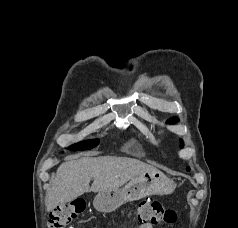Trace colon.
<instances>
[{
  "instance_id": "1",
  "label": "colon",
  "mask_w": 238,
  "mask_h": 228,
  "mask_svg": "<svg viewBox=\"0 0 238 228\" xmlns=\"http://www.w3.org/2000/svg\"><path fill=\"white\" fill-rule=\"evenodd\" d=\"M85 208L86 204L83 200H74L59 205L50 213L48 228H68L84 212ZM136 215L141 224L153 226L171 225L177 220V215L173 210L156 201H142L136 209Z\"/></svg>"
}]
</instances>
